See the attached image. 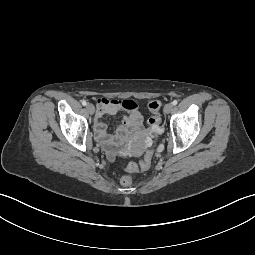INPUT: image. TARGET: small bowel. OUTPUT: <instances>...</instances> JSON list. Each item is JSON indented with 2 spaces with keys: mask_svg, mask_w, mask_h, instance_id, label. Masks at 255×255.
I'll list each match as a JSON object with an SVG mask.
<instances>
[{
  "mask_svg": "<svg viewBox=\"0 0 255 255\" xmlns=\"http://www.w3.org/2000/svg\"><path fill=\"white\" fill-rule=\"evenodd\" d=\"M121 111L125 112L121 124L113 134L108 133L107 126L102 121L103 116L114 115ZM94 131L97 140L112 154L129 134L142 132V114L138 104L132 100L99 98L94 119Z\"/></svg>",
  "mask_w": 255,
  "mask_h": 255,
  "instance_id": "c3829d8e",
  "label": "small bowel"
}]
</instances>
